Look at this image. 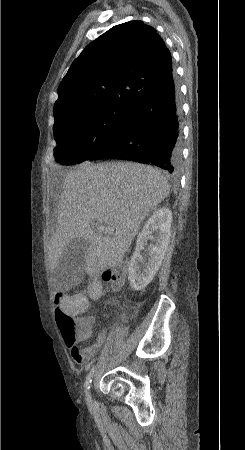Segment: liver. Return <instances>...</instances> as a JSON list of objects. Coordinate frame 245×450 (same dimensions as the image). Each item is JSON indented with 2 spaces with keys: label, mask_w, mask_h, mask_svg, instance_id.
Returning a JSON list of instances; mask_svg holds the SVG:
<instances>
[{
  "label": "liver",
  "mask_w": 245,
  "mask_h": 450,
  "mask_svg": "<svg viewBox=\"0 0 245 450\" xmlns=\"http://www.w3.org/2000/svg\"><path fill=\"white\" fill-rule=\"evenodd\" d=\"M170 193L167 178L156 168L131 162L83 164L64 175L57 211V229L49 242L50 269L55 271L67 245L73 239L90 242L85 255V271L99 275L119 265L144 219ZM95 225H105L114 233L102 235ZM96 280L89 295L101 296ZM89 306L84 293L63 297L60 308L76 315Z\"/></svg>",
  "instance_id": "1"
}]
</instances>
